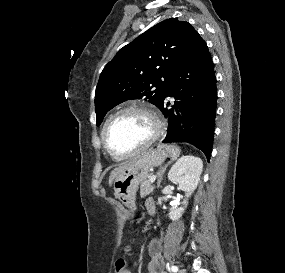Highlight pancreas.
I'll use <instances>...</instances> for the list:
<instances>
[{
  "label": "pancreas",
  "instance_id": "1",
  "mask_svg": "<svg viewBox=\"0 0 285 273\" xmlns=\"http://www.w3.org/2000/svg\"><path fill=\"white\" fill-rule=\"evenodd\" d=\"M153 190L154 186L150 182V177H148V179L144 180L140 185V196L145 197L153 192Z\"/></svg>",
  "mask_w": 285,
  "mask_h": 273
}]
</instances>
